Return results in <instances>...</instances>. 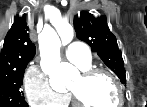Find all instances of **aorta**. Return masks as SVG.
I'll list each match as a JSON object with an SVG mask.
<instances>
[{
	"mask_svg": "<svg viewBox=\"0 0 147 107\" xmlns=\"http://www.w3.org/2000/svg\"><path fill=\"white\" fill-rule=\"evenodd\" d=\"M68 40L73 38V30L66 35ZM61 41L50 26H46L39 36L41 68L50 76V85L54 90L65 89L71 80L79 75L78 70L69 63H62L60 58Z\"/></svg>",
	"mask_w": 147,
	"mask_h": 107,
	"instance_id": "762f6f07",
	"label": "aorta"
}]
</instances>
